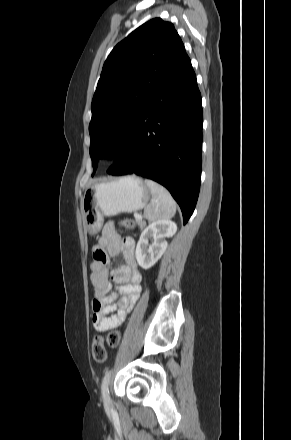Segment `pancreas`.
Masks as SVG:
<instances>
[{"label": "pancreas", "instance_id": "pancreas-1", "mask_svg": "<svg viewBox=\"0 0 291 440\" xmlns=\"http://www.w3.org/2000/svg\"><path fill=\"white\" fill-rule=\"evenodd\" d=\"M136 224L141 228V229H143L145 226H146V222L144 221V220H142V219H136Z\"/></svg>", "mask_w": 291, "mask_h": 440}]
</instances>
